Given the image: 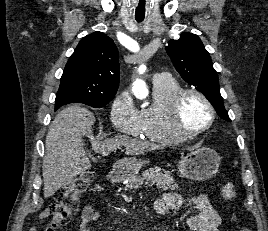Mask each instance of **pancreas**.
<instances>
[{"label":"pancreas","mask_w":268,"mask_h":231,"mask_svg":"<svg viewBox=\"0 0 268 231\" xmlns=\"http://www.w3.org/2000/svg\"><path fill=\"white\" fill-rule=\"evenodd\" d=\"M154 184L164 191L178 189V184L170 177L169 173L162 172L160 167L145 170L142 175H135L129 178L124 190L138 188L139 185Z\"/></svg>","instance_id":"pancreas-1"}]
</instances>
